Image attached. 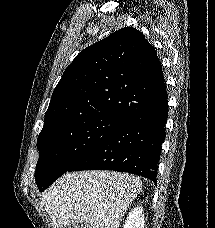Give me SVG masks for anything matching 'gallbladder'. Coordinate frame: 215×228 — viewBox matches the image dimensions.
<instances>
[{"instance_id":"gallbladder-1","label":"gallbladder","mask_w":215,"mask_h":228,"mask_svg":"<svg viewBox=\"0 0 215 228\" xmlns=\"http://www.w3.org/2000/svg\"><path fill=\"white\" fill-rule=\"evenodd\" d=\"M69 228H74L73 224H72V226H69ZM80 228H82V226H80Z\"/></svg>"}]
</instances>
